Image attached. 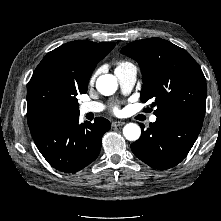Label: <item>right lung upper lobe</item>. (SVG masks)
Segmentation results:
<instances>
[{"instance_id": "right-lung-upper-lobe-1", "label": "right lung upper lobe", "mask_w": 221, "mask_h": 221, "mask_svg": "<svg viewBox=\"0 0 221 221\" xmlns=\"http://www.w3.org/2000/svg\"><path fill=\"white\" fill-rule=\"evenodd\" d=\"M114 42L76 40L49 52L35 69L27 91L29 128L62 115H78L76 96L86 93L97 63Z\"/></svg>"}]
</instances>
